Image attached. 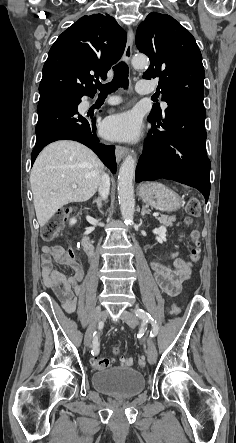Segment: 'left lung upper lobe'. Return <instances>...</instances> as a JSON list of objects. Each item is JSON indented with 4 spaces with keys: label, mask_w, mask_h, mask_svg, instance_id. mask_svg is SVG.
<instances>
[{
    "label": "left lung upper lobe",
    "mask_w": 236,
    "mask_h": 443,
    "mask_svg": "<svg viewBox=\"0 0 236 443\" xmlns=\"http://www.w3.org/2000/svg\"><path fill=\"white\" fill-rule=\"evenodd\" d=\"M136 46L150 59L143 78H159L158 89L168 105L187 98L203 100L202 55L192 34L179 22L167 14L150 13L137 29ZM164 113L155 107L149 116L159 120Z\"/></svg>",
    "instance_id": "obj_1"
}]
</instances>
